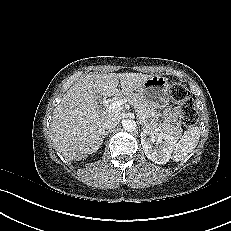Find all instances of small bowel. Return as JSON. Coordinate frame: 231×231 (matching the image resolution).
Masks as SVG:
<instances>
[{
  "mask_svg": "<svg viewBox=\"0 0 231 231\" xmlns=\"http://www.w3.org/2000/svg\"><path fill=\"white\" fill-rule=\"evenodd\" d=\"M175 115H176V111L175 110H172V109L168 110V112H167V117L168 118L172 119V118L175 117Z\"/></svg>",
  "mask_w": 231,
  "mask_h": 231,
  "instance_id": "c3829d8e",
  "label": "small bowel"
}]
</instances>
